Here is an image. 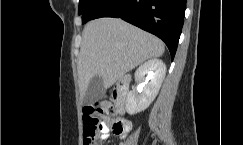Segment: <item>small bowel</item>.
<instances>
[{"mask_svg":"<svg viewBox=\"0 0 243 145\" xmlns=\"http://www.w3.org/2000/svg\"><path fill=\"white\" fill-rule=\"evenodd\" d=\"M103 105L106 106V104H103ZM112 121H113L112 119L107 117L102 122V126L100 129V140L101 141H105L108 138L110 130H111L110 125H111ZM126 122H127V129L122 134H119V136L125 137L127 132L129 131L130 123L128 121H126Z\"/></svg>","mask_w":243,"mask_h":145,"instance_id":"obj_1","label":"small bowel"}]
</instances>
